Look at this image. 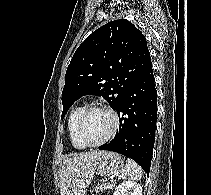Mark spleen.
I'll return each instance as SVG.
<instances>
[{"label": "spleen", "mask_w": 211, "mask_h": 195, "mask_svg": "<svg viewBox=\"0 0 211 195\" xmlns=\"http://www.w3.org/2000/svg\"><path fill=\"white\" fill-rule=\"evenodd\" d=\"M142 173V168L136 162L128 158L125 167L120 171V177L140 180Z\"/></svg>", "instance_id": "spleen-1"}]
</instances>
